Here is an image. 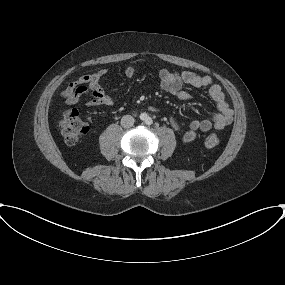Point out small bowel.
Wrapping results in <instances>:
<instances>
[{"instance_id":"obj_1","label":"small bowel","mask_w":285,"mask_h":285,"mask_svg":"<svg viewBox=\"0 0 285 285\" xmlns=\"http://www.w3.org/2000/svg\"><path fill=\"white\" fill-rule=\"evenodd\" d=\"M106 72V69H100L69 83L61 93L65 103L75 104L82 97L89 96L90 99L86 103L87 107L113 105V99L104 92L101 85V79ZM136 73L137 70L132 66L125 69L127 77H134ZM157 78L162 90L180 100H188L191 97L190 93L184 89L185 85H190L207 90L216 104L217 113L211 119L193 120L188 129H183L176 118H171V125L175 131L181 134L183 142H192L198 133H204L211 129L222 130L232 122V108L226 100L221 87L215 84L210 76H201L191 71L172 72L167 69H160L157 71Z\"/></svg>"}]
</instances>
